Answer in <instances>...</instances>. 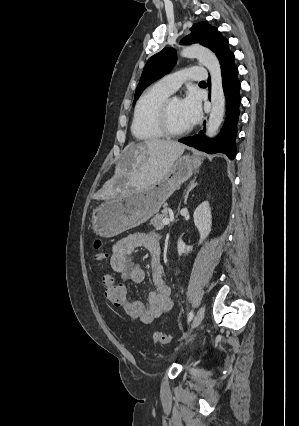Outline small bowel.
Instances as JSON below:
<instances>
[{
  "instance_id": "1",
  "label": "small bowel",
  "mask_w": 299,
  "mask_h": 426,
  "mask_svg": "<svg viewBox=\"0 0 299 426\" xmlns=\"http://www.w3.org/2000/svg\"><path fill=\"white\" fill-rule=\"evenodd\" d=\"M139 247H144L150 254V268L155 289L149 292L146 304L126 300L122 308L131 318L150 323L173 307L171 288L163 278L160 236L155 232H138L122 238L112 248L110 265L120 275L124 285L127 281L142 283L145 279V271L130 259Z\"/></svg>"
}]
</instances>
